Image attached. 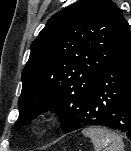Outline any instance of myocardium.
Returning a JSON list of instances; mask_svg holds the SVG:
<instances>
[{
    "mask_svg": "<svg viewBox=\"0 0 131 151\" xmlns=\"http://www.w3.org/2000/svg\"><path fill=\"white\" fill-rule=\"evenodd\" d=\"M50 122L48 114H39L31 121V128L34 132H41Z\"/></svg>",
    "mask_w": 131,
    "mask_h": 151,
    "instance_id": "f54148a6",
    "label": "myocardium"
}]
</instances>
